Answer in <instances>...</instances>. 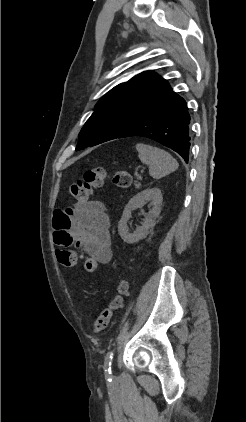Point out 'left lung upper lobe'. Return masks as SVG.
Listing matches in <instances>:
<instances>
[{
  "instance_id": "1",
  "label": "left lung upper lobe",
  "mask_w": 246,
  "mask_h": 422,
  "mask_svg": "<svg viewBox=\"0 0 246 422\" xmlns=\"http://www.w3.org/2000/svg\"><path fill=\"white\" fill-rule=\"evenodd\" d=\"M165 79L152 71L142 72L111 89L95 106L79 133L76 150L115 138L129 129L168 90Z\"/></svg>"
}]
</instances>
